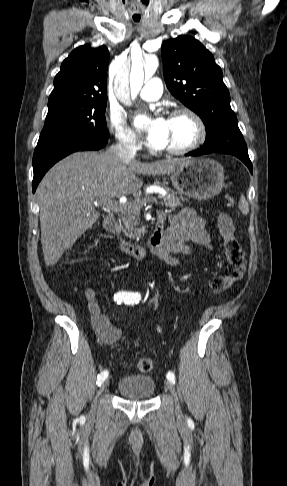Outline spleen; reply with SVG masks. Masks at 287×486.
Here are the masks:
<instances>
[{"label":"spleen","mask_w":287,"mask_h":486,"mask_svg":"<svg viewBox=\"0 0 287 486\" xmlns=\"http://www.w3.org/2000/svg\"><path fill=\"white\" fill-rule=\"evenodd\" d=\"M239 209L244 215H247L249 213V204L243 194L240 197Z\"/></svg>","instance_id":"1"}]
</instances>
